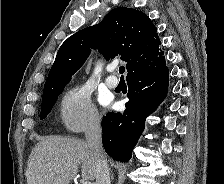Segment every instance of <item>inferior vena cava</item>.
Here are the masks:
<instances>
[{"label":"inferior vena cava","instance_id":"obj_1","mask_svg":"<svg viewBox=\"0 0 224 184\" xmlns=\"http://www.w3.org/2000/svg\"><path fill=\"white\" fill-rule=\"evenodd\" d=\"M85 137L89 148L96 159V183L111 184L109 167L102 146L101 123L98 117L93 118L87 125Z\"/></svg>","mask_w":224,"mask_h":184}]
</instances>
